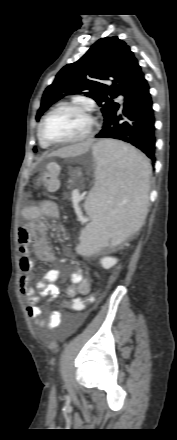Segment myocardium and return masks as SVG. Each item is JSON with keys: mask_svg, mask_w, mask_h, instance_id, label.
Instances as JSON below:
<instances>
[{"mask_svg": "<svg viewBox=\"0 0 177 440\" xmlns=\"http://www.w3.org/2000/svg\"><path fill=\"white\" fill-rule=\"evenodd\" d=\"M65 109H76V110H80V111L85 112L88 115V117L90 118V122H91L89 129L87 130V132L84 135H82L81 137L76 138V139L63 140V141H54V140L48 139L44 134V128L46 126V123L54 114H56L59 111L65 110ZM97 126H98V122H97L95 116L93 115L91 109L88 106L83 105V104H79V103L67 102V103L59 104L58 106L54 107L51 111H49L45 115V117L43 118V120L40 123L39 129H38V135H39V138L43 142L48 144L49 146L76 144V143H80V142H83V141H86L87 139H89L94 134Z\"/></svg>", "mask_w": 177, "mask_h": 440, "instance_id": "obj_1", "label": "myocardium"}]
</instances>
